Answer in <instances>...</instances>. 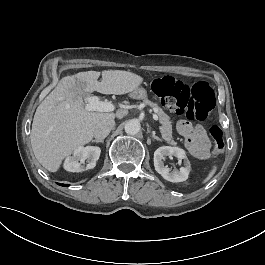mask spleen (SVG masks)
<instances>
[{"label": "spleen", "instance_id": "3e777b00", "mask_svg": "<svg viewBox=\"0 0 265 265\" xmlns=\"http://www.w3.org/2000/svg\"><path fill=\"white\" fill-rule=\"evenodd\" d=\"M216 169V166H214L211 172L209 173L208 177L204 180V182H207L215 174Z\"/></svg>", "mask_w": 265, "mask_h": 265}]
</instances>
